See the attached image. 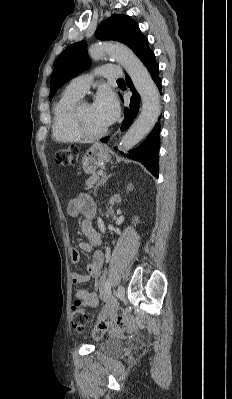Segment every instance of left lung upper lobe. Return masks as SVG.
<instances>
[{"label":"left lung upper lobe","instance_id":"1","mask_svg":"<svg viewBox=\"0 0 232 399\" xmlns=\"http://www.w3.org/2000/svg\"><path fill=\"white\" fill-rule=\"evenodd\" d=\"M100 40H115L127 45L135 54L148 43L138 24L126 15L113 14L103 21L96 30ZM90 65L86 42L81 41L68 46L58 57L50 79V95L67 81L82 73Z\"/></svg>","mask_w":232,"mask_h":399}]
</instances>
